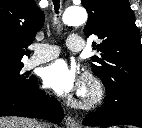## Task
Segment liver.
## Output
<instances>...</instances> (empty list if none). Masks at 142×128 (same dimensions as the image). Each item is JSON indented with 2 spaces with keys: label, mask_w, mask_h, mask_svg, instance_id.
Returning a JSON list of instances; mask_svg holds the SVG:
<instances>
[{
  "label": "liver",
  "mask_w": 142,
  "mask_h": 128,
  "mask_svg": "<svg viewBox=\"0 0 142 128\" xmlns=\"http://www.w3.org/2000/svg\"><path fill=\"white\" fill-rule=\"evenodd\" d=\"M39 124L37 120L32 118L0 117V128H38Z\"/></svg>",
  "instance_id": "1"
}]
</instances>
